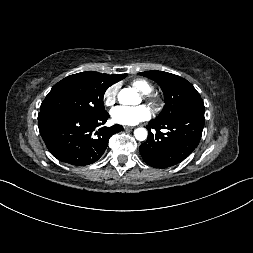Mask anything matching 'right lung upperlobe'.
Masks as SVG:
<instances>
[{
	"mask_svg": "<svg viewBox=\"0 0 253 253\" xmlns=\"http://www.w3.org/2000/svg\"><path fill=\"white\" fill-rule=\"evenodd\" d=\"M111 80H113L115 83L122 80L127 76V74H117V75H108L106 74Z\"/></svg>",
	"mask_w": 253,
	"mask_h": 253,
	"instance_id": "obj_1",
	"label": "right lung upper lobe"
}]
</instances>
